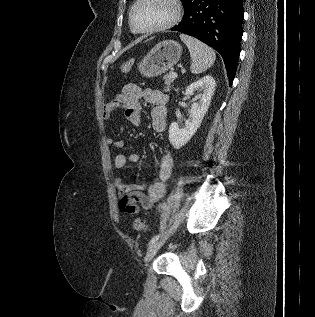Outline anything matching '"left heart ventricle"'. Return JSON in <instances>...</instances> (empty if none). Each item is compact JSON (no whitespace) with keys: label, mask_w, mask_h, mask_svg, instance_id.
Instances as JSON below:
<instances>
[{"label":"left heart ventricle","mask_w":315,"mask_h":317,"mask_svg":"<svg viewBox=\"0 0 315 317\" xmlns=\"http://www.w3.org/2000/svg\"><path fill=\"white\" fill-rule=\"evenodd\" d=\"M172 14L169 0H143L135 10L134 22L140 29L151 28L165 23Z\"/></svg>","instance_id":"left-heart-ventricle-1"}]
</instances>
